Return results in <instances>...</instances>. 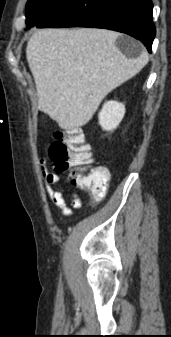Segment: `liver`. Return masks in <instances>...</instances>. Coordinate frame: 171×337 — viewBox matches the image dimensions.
Listing matches in <instances>:
<instances>
[{
    "mask_svg": "<svg viewBox=\"0 0 171 337\" xmlns=\"http://www.w3.org/2000/svg\"><path fill=\"white\" fill-rule=\"evenodd\" d=\"M120 33L104 29H41L26 57L38 106L65 130L87 124L104 97L148 63L146 50L127 58L115 45Z\"/></svg>",
    "mask_w": 171,
    "mask_h": 337,
    "instance_id": "1",
    "label": "liver"
}]
</instances>
